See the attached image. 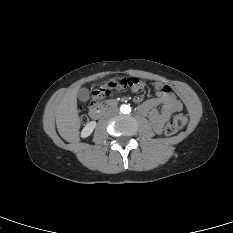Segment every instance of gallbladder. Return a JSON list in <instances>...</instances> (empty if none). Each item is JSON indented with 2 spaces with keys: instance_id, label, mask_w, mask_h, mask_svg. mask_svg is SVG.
I'll use <instances>...</instances> for the list:
<instances>
[{
  "instance_id": "1",
  "label": "gallbladder",
  "mask_w": 233,
  "mask_h": 233,
  "mask_svg": "<svg viewBox=\"0 0 233 233\" xmlns=\"http://www.w3.org/2000/svg\"><path fill=\"white\" fill-rule=\"evenodd\" d=\"M77 96L81 102H85L89 99V91L86 88H82L79 90Z\"/></svg>"
}]
</instances>
